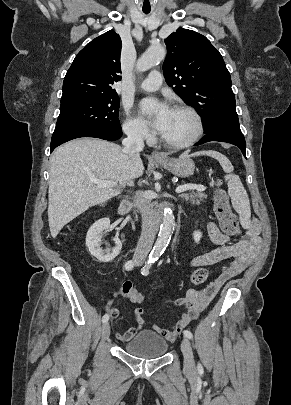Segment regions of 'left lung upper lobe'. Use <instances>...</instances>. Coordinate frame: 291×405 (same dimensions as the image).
<instances>
[{"instance_id": "obj_1", "label": "left lung upper lobe", "mask_w": 291, "mask_h": 405, "mask_svg": "<svg viewBox=\"0 0 291 405\" xmlns=\"http://www.w3.org/2000/svg\"><path fill=\"white\" fill-rule=\"evenodd\" d=\"M165 43V80L198 111L206 134L222 125L239 126L230 73L219 51L205 36L184 28Z\"/></svg>"}]
</instances>
